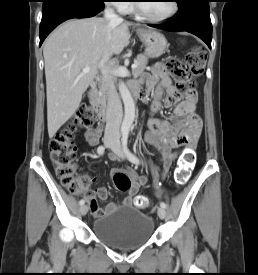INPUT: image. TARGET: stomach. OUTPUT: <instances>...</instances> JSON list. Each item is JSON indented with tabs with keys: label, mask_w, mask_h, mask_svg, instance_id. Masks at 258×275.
<instances>
[{
	"label": "stomach",
	"mask_w": 258,
	"mask_h": 275,
	"mask_svg": "<svg viewBox=\"0 0 258 275\" xmlns=\"http://www.w3.org/2000/svg\"><path fill=\"white\" fill-rule=\"evenodd\" d=\"M137 35L145 46V55L150 58L161 56L167 48L165 36L155 30L140 28L137 29Z\"/></svg>",
	"instance_id": "obj_1"
}]
</instances>
